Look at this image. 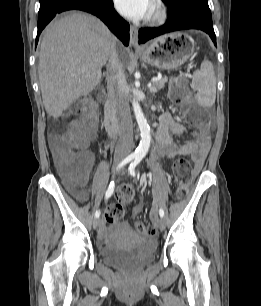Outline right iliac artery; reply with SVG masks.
<instances>
[{
  "label": "right iliac artery",
  "mask_w": 261,
  "mask_h": 306,
  "mask_svg": "<svg viewBox=\"0 0 261 306\" xmlns=\"http://www.w3.org/2000/svg\"><path fill=\"white\" fill-rule=\"evenodd\" d=\"M135 158V155H129L127 156L118 166H117V170L121 169L123 166H125L127 163H129L130 161H132L133 159ZM114 189H115V183L114 181H111L107 191H106V194H105V198H109L113 192H114ZM100 216V210H97L95 212V217L96 218H99Z\"/></svg>",
  "instance_id": "right-iliac-artery-1"
}]
</instances>
